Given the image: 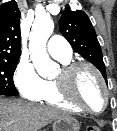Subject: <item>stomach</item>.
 I'll list each match as a JSON object with an SVG mask.
<instances>
[{
    "label": "stomach",
    "mask_w": 117,
    "mask_h": 131,
    "mask_svg": "<svg viewBox=\"0 0 117 131\" xmlns=\"http://www.w3.org/2000/svg\"><path fill=\"white\" fill-rule=\"evenodd\" d=\"M53 131H79V122L70 116L58 118L53 123Z\"/></svg>",
    "instance_id": "0dacf381"
}]
</instances>
